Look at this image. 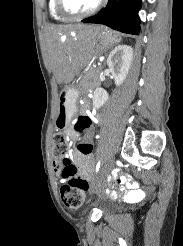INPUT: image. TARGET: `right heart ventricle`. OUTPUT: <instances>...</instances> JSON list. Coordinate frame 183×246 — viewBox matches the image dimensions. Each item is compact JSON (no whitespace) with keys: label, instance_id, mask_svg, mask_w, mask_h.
<instances>
[{"label":"right heart ventricle","instance_id":"right-heart-ventricle-1","mask_svg":"<svg viewBox=\"0 0 183 246\" xmlns=\"http://www.w3.org/2000/svg\"><path fill=\"white\" fill-rule=\"evenodd\" d=\"M48 8H49V13L53 19L58 20V21L66 20V17H64L58 12L57 6H56V0H49Z\"/></svg>","mask_w":183,"mask_h":246}]
</instances>
